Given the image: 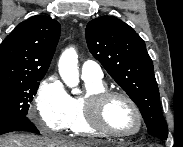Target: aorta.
Returning <instances> with one entry per match:
<instances>
[{
  "label": "aorta",
  "instance_id": "obj_1",
  "mask_svg": "<svg viewBox=\"0 0 183 147\" xmlns=\"http://www.w3.org/2000/svg\"><path fill=\"white\" fill-rule=\"evenodd\" d=\"M59 74L63 82L70 88L74 94L80 93L77 88L79 84L78 55L74 48L66 49L58 63Z\"/></svg>",
  "mask_w": 183,
  "mask_h": 147
}]
</instances>
